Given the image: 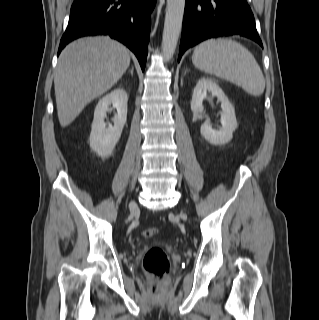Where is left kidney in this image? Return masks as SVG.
I'll return each instance as SVG.
<instances>
[{
	"label": "left kidney",
	"instance_id": "1",
	"mask_svg": "<svg viewBox=\"0 0 319 320\" xmlns=\"http://www.w3.org/2000/svg\"><path fill=\"white\" fill-rule=\"evenodd\" d=\"M207 91L217 97L221 103L222 111L220 112V116L222 127L219 130L213 129L210 120H206L201 125V135L211 144L223 145L231 141L233 132L237 128L235 110L217 83L208 78H201L194 88L191 101V110L194 114L203 113L202 102L207 97Z\"/></svg>",
	"mask_w": 319,
	"mask_h": 320
}]
</instances>
